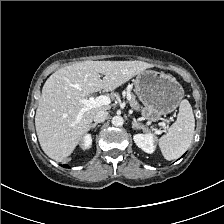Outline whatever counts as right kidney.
<instances>
[{
	"label": "right kidney",
	"instance_id": "1",
	"mask_svg": "<svg viewBox=\"0 0 224 224\" xmlns=\"http://www.w3.org/2000/svg\"><path fill=\"white\" fill-rule=\"evenodd\" d=\"M92 145V137L90 134H86L83 138L82 148L89 149Z\"/></svg>",
	"mask_w": 224,
	"mask_h": 224
}]
</instances>
